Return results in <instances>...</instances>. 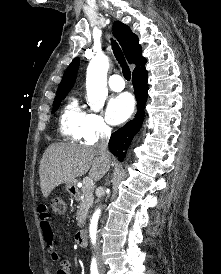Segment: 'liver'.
Segmentation results:
<instances>
[{
    "label": "liver",
    "mask_w": 221,
    "mask_h": 274,
    "mask_svg": "<svg viewBox=\"0 0 221 274\" xmlns=\"http://www.w3.org/2000/svg\"><path fill=\"white\" fill-rule=\"evenodd\" d=\"M110 160L98 148L76 144L54 143L45 150L39 166L40 186L44 198L59 185L74 183L75 178L89 171V178L98 181L107 172Z\"/></svg>",
    "instance_id": "6515ba94"
}]
</instances>
